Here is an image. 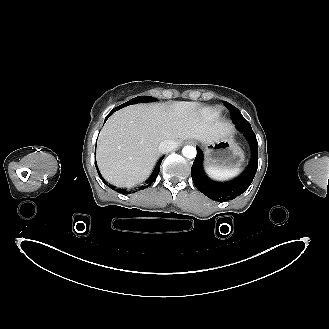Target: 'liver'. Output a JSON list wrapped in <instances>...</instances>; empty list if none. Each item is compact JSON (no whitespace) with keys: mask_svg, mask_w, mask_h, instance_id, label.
I'll list each match as a JSON object with an SVG mask.
<instances>
[{"mask_svg":"<svg viewBox=\"0 0 329 329\" xmlns=\"http://www.w3.org/2000/svg\"><path fill=\"white\" fill-rule=\"evenodd\" d=\"M233 126L216 119L213 110L197 102L137 105L114 113L102 128L97 164L103 177L117 187L145 180L161 155L164 140L211 143L231 135Z\"/></svg>","mask_w":329,"mask_h":329,"instance_id":"1","label":"liver"}]
</instances>
